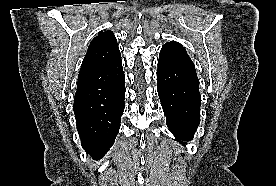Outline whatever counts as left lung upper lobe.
Masks as SVG:
<instances>
[{"mask_svg": "<svg viewBox=\"0 0 276 186\" xmlns=\"http://www.w3.org/2000/svg\"><path fill=\"white\" fill-rule=\"evenodd\" d=\"M159 58V61H166L173 64L185 65L195 68L185 48L176 41H171L164 44L160 51Z\"/></svg>", "mask_w": 276, "mask_h": 186, "instance_id": "1", "label": "left lung upper lobe"}]
</instances>
